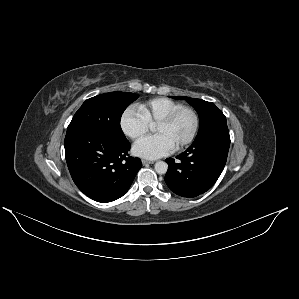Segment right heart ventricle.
<instances>
[{
  "instance_id": "1",
  "label": "right heart ventricle",
  "mask_w": 299,
  "mask_h": 299,
  "mask_svg": "<svg viewBox=\"0 0 299 299\" xmlns=\"http://www.w3.org/2000/svg\"><path fill=\"white\" fill-rule=\"evenodd\" d=\"M182 106L180 102L159 97L139 104L138 110L150 126H155L162 118Z\"/></svg>"
}]
</instances>
